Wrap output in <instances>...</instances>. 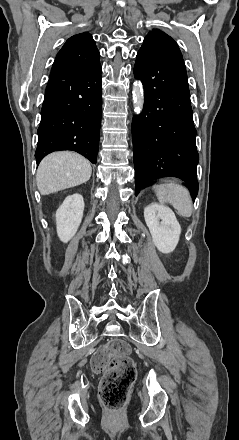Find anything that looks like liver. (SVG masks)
<instances>
[{"mask_svg":"<svg viewBox=\"0 0 239 440\" xmlns=\"http://www.w3.org/2000/svg\"><path fill=\"white\" fill-rule=\"evenodd\" d=\"M90 162L74 152H53L42 160L36 176L41 196L80 186L90 180Z\"/></svg>","mask_w":239,"mask_h":440,"instance_id":"obj_1","label":"liver"}]
</instances>
